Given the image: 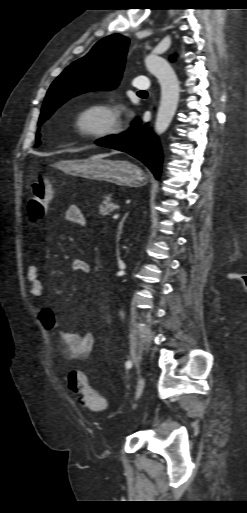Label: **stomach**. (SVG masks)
Instances as JSON below:
<instances>
[{
  "label": "stomach",
  "instance_id": "obj_1",
  "mask_svg": "<svg viewBox=\"0 0 247 513\" xmlns=\"http://www.w3.org/2000/svg\"><path fill=\"white\" fill-rule=\"evenodd\" d=\"M52 166L70 174L120 186L138 187L145 182L144 172L125 160L88 158L60 161Z\"/></svg>",
  "mask_w": 247,
  "mask_h": 513
}]
</instances>
